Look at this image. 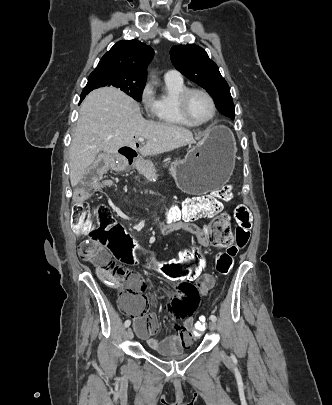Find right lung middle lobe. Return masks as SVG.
<instances>
[{"label": "right lung middle lobe", "mask_w": 332, "mask_h": 405, "mask_svg": "<svg viewBox=\"0 0 332 405\" xmlns=\"http://www.w3.org/2000/svg\"><path fill=\"white\" fill-rule=\"evenodd\" d=\"M146 80L133 78L121 73L102 71L91 73L84 91H92L103 86H114L120 88L136 101H141V95Z\"/></svg>", "instance_id": "1"}]
</instances>
